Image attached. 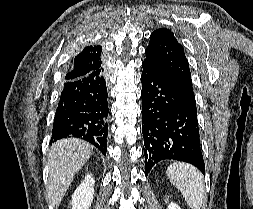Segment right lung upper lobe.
Returning a JSON list of instances; mask_svg holds the SVG:
<instances>
[{
  "instance_id": "right-lung-upper-lobe-1",
  "label": "right lung upper lobe",
  "mask_w": 253,
  "mask_h": 209,
  "mask_svg": "<svg viewBox=\"0 0 253 209\" xmlns=\"http://www.w3.org/2000/svg\"><path fill=\"white\" fill-rule=\"evenodd\" d=\"M102 47L86 46L73 60L65 81L76 80L102 70Z\"/></svg>"
}]
</instances>
